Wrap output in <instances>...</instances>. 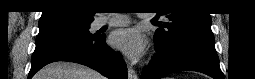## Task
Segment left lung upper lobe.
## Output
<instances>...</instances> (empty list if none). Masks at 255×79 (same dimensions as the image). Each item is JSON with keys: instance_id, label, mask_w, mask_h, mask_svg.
Listing matches in <instances>:
<instances>
[{"instance_id": "5c2ea615", "label": "left lung upper lobe", "mask_w": 255, "mask_h": 79, "mask_svg": "<svg viewBox=\"0 0 255 79\" xmlns=\"http://www.w3.org/2000/svg\"><path fill=\"white\" fill-rule=\"evenodd\" d=\"M158 4L165 10L160 14H166L169 19V22L158 24L160 29H157L154 35L155 45L158 47L164 48L186 34H213L210 14L201 11L181 12L178 3L171 0H161Z\"/></svg>"}]
</instances>
